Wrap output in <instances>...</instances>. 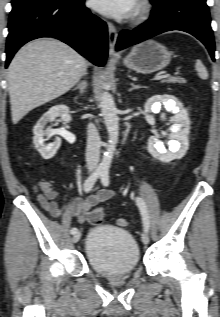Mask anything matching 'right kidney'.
Returning <instances> with one entry per match:
<instances>
[{
	"mask_svg": "<svg viewBox=\"0 0 220 317\" xmlns=\"http://www.w3.org/2000/svg\"><path fill=\"white\" fill-rule=\"evenodd\" d=\"M57 117H61L65 121L70 122L71 116L69 115V108L66 105H56L51 107L33 128V144L44 159L52 158L61 146L60 138H56L51 144H44V136L46 134V131L44 130L45 124L54 121Z\"/></svg>",
	"mask_w": 220,
	"mask_h": 317,
	"instance_id": "obj_1",
	"label": "right kidney"
}]
</instances>
